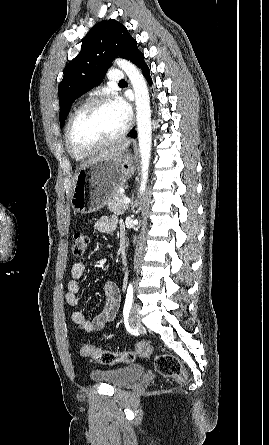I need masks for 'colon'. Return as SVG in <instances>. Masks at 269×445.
<instances>
[{"mask_svg": "<svg viewBox=\"0 0 269 445\" xmlns=\"http://www.w3.org/2000/svg\"><path fill=\"white\" fill-rule=\"evenodd\" d=\"M89 243L88 236L85 233L78 232L74 234L72 239V253L74 256H81L84 254ZM148 357L151 354V348L143 342L136 345V352L123 351L111 352L107 350L98 349L92 345H84L80 350V355L85 358H92L104 365H113L117 363H132L136 356ZM154 367L156 371L168 378H174L179 381L185 379V372L183 370L180 360L168 353H161L154 357Z\"/></svg>", "mask_w": 269, "mask_h": 445, "instance_id": "colon-1", "label": "colon"}]
</instances>
